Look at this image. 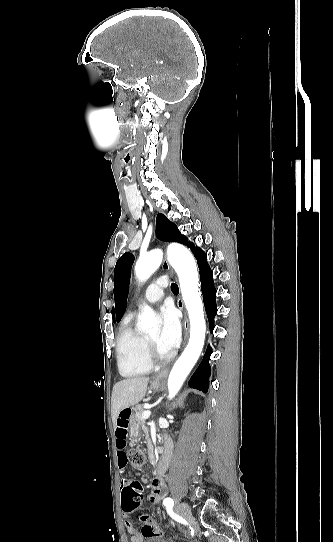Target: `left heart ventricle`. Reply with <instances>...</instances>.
Instances as JSON below:
<instances>
[{
  "instance_id": "obj_1",
  "label": "left heart ventricle",
  "mask_w": 333,
  "mask_h": 542,
  "mask_svg": "<svg viewBox=\"0 0 333 542\" xmlns=\"http://www.w3.org/2000/svg\"><path fill=\"white\" fill-rule=\"evenodd\" d=\"M147 338L153 343L156 352L160 356L166 357L169 355L168 352L159 344V333H153L147 336Z\"/></svg>"
}]
</instances>
